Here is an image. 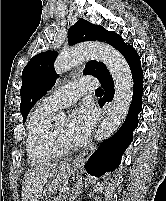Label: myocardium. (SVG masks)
Returning <instances> with one entry per match:
<instances>
[{"mask_svg": "<svg viewBox=\"0 0 166 201\" xmlns=\"http://www.w3.org/2000/svg\"><path fill=\"white\" fill-rule=\"evenodd\" d=\"M50 141L53 145V147L56 149V151L59 154H69L76 150V146L68 145L63 142V140L60 138L58 131L55 127V123H51L50 126Z\"/></svg>", "mask_w": 166, "mask_h": 201, "instance_id": "1", "label": "myocardium"}]
</instances>
